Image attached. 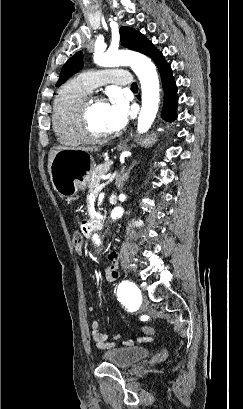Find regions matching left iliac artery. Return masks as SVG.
<instances>
[{"label": "left iliac artery", "instance_id": "obj_1", "mask_svg": "<svg viewBox=\"0 0 243 409\" xmlns=\"http://www.w3.org/2000/svg\"><path fill=\"white\" fill-rule=\"evenodd\" d=\"M118 299L127 301L131 307H138L141 301V292L137 286L129 281H124L117 287Z\"/></svg>", "mask_w": 243, "mask_h": 409}]
</instances>
